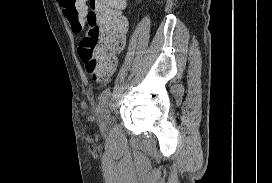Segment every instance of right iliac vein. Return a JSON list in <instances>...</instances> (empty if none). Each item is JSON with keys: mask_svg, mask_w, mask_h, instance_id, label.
I'll return each instance as SVG.
<instances>
[{"mask_svg": "<svg viewBox=\"0 0 272 183\" xmlns=\"http://www.w3.org/2000/svg\"><path fill=\"white\" fill-rule=\"evenodd\" d=\"M97 119L100 125V129L102 131L106 130L107 127V123H108V110H107V104L101 106L98 109V113H97Z\"/></svg>", "mask_w": 272, "mask_h": 183, "instance_id": "right-iliac-vein-1", "label": "right iliac vein"}]
</instances>
